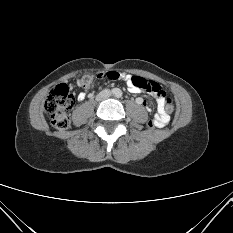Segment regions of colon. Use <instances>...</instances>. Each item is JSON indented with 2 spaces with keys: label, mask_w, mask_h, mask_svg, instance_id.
Returning a JSON list of instances; mask_svg holds the SVG:
<instances>
[{
  "label": "colon",
  "mask_w": 233,
  "mask_h": 233,
  "mask_svg": "<svg viewBox=\"0 0 233 233\" xmlns=\"http://www.w3.org/2000/svg\"><path fill=\"white\" fill-rule=\"evenodd\" d=\"M106 74L107 73H105V75ZM96 78H98V76L88 73L81 76L78 82L83 88H89L93 85ZM132 84L141 90L153 94L154 96L164 97L166 112L172 113L174 111V106L172 105L171 100L166 98L164 91L161 89L158 83L140 76H132ZM73 105V94L66 84H59L52 89L49 96L45 100L44 109L45 112L51 117L52 125L55 129L64 131L69 128L70 121L67 116V112L73 108ZM148 127H156L155 117L148 122Z\"/></svg>",
  "instance_id": "obj_1"
}]
</instances>
